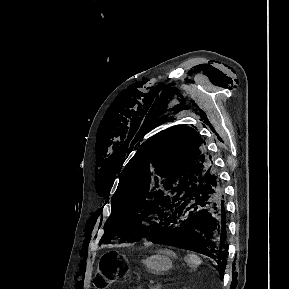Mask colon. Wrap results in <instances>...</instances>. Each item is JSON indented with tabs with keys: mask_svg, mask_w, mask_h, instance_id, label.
Here are the masks:
<instances>
[{
	"mask_svg": "<svg viewBox=\"0 0 289 289\" xmlns=\"http://www.w3.org/2000/svg\"><path fill=\"white\" fill-rule=\"evenodd\" d=\"M127 271L119 262L115 252H107L102 256L100 267L95 277V286L106 289L113 284L123 283L127 280Z\"/></svg>",
	"mask_w": 289,
	"mask_h": 289,
	"instance_id": "obj_1",
	"label": "colon"
}]
</instances>
